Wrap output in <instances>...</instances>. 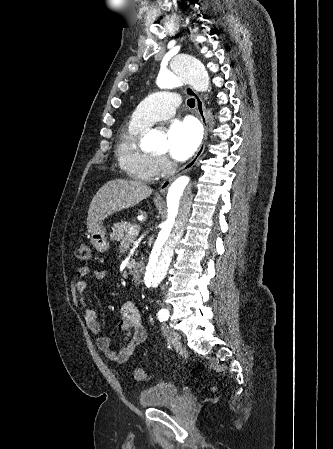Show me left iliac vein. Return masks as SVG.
Returning a JSON list of instances; mask_svg holds the SVG:
<instances>
[{
  "label": "left iliac vein",
  "mask_w": 333,
  "mask_h": 449,
  "mask_svg": "<svg viewBox=\"0 0 333 449\" xmlns=\"http://www.w3.org/2000/svg\"><path fill=\"white\" fill-rule=\"evenodd\" d=\"M162 332L165 338L171 341L173 344H177L180 341V336L177 331H175L169 325L164 324L162 326Z\"/></svg>",
  "instance_id": "4c4485c4"
}]
</instances>
